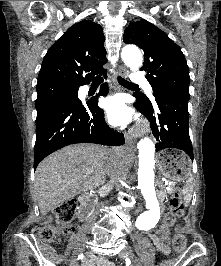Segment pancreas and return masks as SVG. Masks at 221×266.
Instances as JSON below:
<instances>
[{"label":"pancreas","mask_w":221,"mask_h":266,"mask_svg":"<svg viewBox=\"0 0 221 266\" xmlns=\"http://www.w3.org/2000/svg\"><path fill=\"white\" fill-rule=\"evenodd\" d=\"M169 189H166L167 193H172L174 190V186H168Z\"/></svg>","instance_id":"1"}]
</instances>
